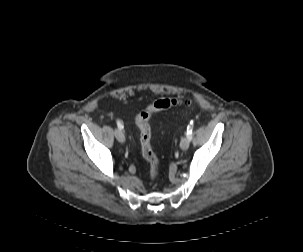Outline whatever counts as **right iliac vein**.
<instances>
[{
  "instance_id": "obj_1",
  "label": "right iliac vein",
  "mask_w": 303,
  "mask_h": 252,
  "mask_svg": "<svg viewBox=\"0 0 303 252\" xmlns=\"http://www.w3.org/2000/svg\"><path fill=\"white\" fill-rule=\"evenodd\" d=\"M114 135H115L116 139L119 142H121V143L125 142V136H124L123 132L120 129H115L114 130Z\"/></svg>"
}]
</instances>
